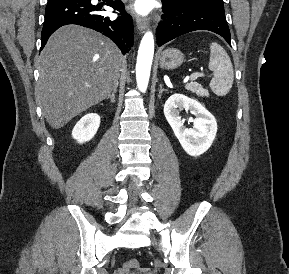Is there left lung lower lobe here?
Returning <instances> with one entry per match:
<instances>
[{"instance_id": "1", "label": "left lung lower lobe", "mask_w": 289, "mask_h": 274, "mask_svg": "<svg viewBox=\"0 0 289 274\" xmlns=\"http://www.w3.org/2000/svg\"><path fill=\"white\" fill-rule=\"evenodd\" d=\"M163 2V21L156 28L158 46L196 30H209L222 36L229 45L230 31L226 22L224 6L212 3H196L173 8Z\"/></svg>"}]
</instances>
